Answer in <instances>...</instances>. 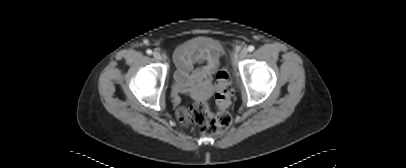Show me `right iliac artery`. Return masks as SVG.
<instances>
[{
  "label": "right iliac artery",
  "instance_id": "obj_1",
  "mask_svg": "<svg viewBox=\"0 0 406 168\" xmlns=\"http://www.w3.org/2000/svg\"><path fill=\"white\" fill-rule=\"evenodd\" d=\"M146 53H147L148 55H151V54H152V50L148 49V50L146 51Z\"/></svg>",
  "mask_w": 406,
  "mask_h": 168
}]
</instances>
